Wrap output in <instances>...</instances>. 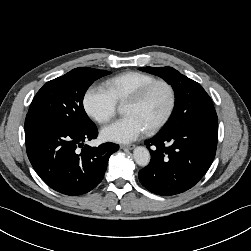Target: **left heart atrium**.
Returning <instances> with one entry per match:
<instances>
[{
	"mask_svg": "<svg viewBox=\"0 0 251 251\" xmlns=\"http://www.w3.org/2000/svg\"><path fill=\"white\" fill-rule=\"evenodd\" d=\"M145 131V126L138 118L126 115L104 127L101 136L106 141L129 143L138 139Z\"/></svg>",
	"mask_w": 251,
	"mask_h": 251,
	"instance_id": "left-heart-atrium-1",
	"label": "left heart atrium"
}]
</instances>
